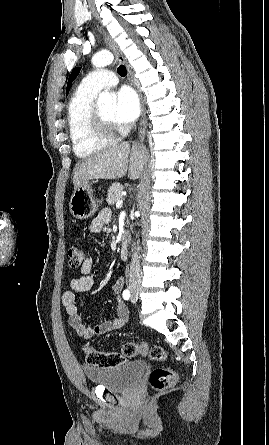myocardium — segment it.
Wrapping results in <instances>:
<instances>
[{
  "label": "myocardium",
  "mask_w": 269,
  "mask_h": 445,
  "mask_svg": "<svg viewBox=\"0 0 269 445\" xmlns=\"http://www.w3.org/2000/svg\"><path fill=\"white\" fill-rule=\"evenodd\" d=\"M91 128L93 132L102 137H113L117 131V125L102 116L100 111L93 108L91 113Z\"/></svg>",
  "instance_id": "obj_1"
}]
</instances>
